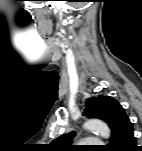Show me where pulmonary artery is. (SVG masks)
Instances as JSON below:
<instances>
[{"mask_svg":"<svg viewBox=\"0 0 142 151\" xmlns=\"http://www.w3.org/2000/svg\"><path fill=\"white\" fill-rule=\"evenodd\" d=\"M81 142L91 144V145H99L102 143L99 139H96V138H88V139L82 140Z\"/></svg>","mask_w":142,"mask_h":151,"instance_id":"1","label":"pulmonary artery"}]
</instances>
